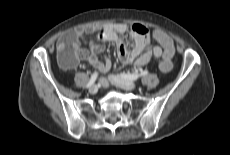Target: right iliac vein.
I'll return each instance as SVG.
<instances>
[{"label": "right iliac vein", "instance_id": "right-iliac-vein-1", "mask_svg": "<svg viewBox=\"0 0 230 155\" xmlns=\"http://www.w3.org/2000/svg\"><path fill=\"white\" fill-rule=\"evenodd\" d=\"M97 90H98L97 86H96V85H92V86L89 88V93H90V94H95V93H97Z\"/></svg>", "mask_w": 230, "mask_h": 155}]
</instances>
